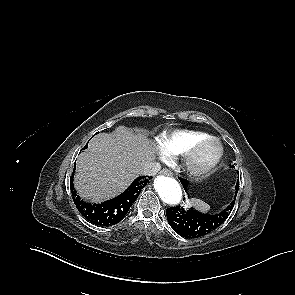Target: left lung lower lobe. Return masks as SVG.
<instances>
[{"instance_id":"left-lung-lower-lobe-1","label":"left lung lower lobe","mask_w":295,"mask_h":295,"mask_svg":"<svg viewBox=\"0 0 295 295\" xmlns=\"http://www.w3.org/2000/svg\"><path fill=\"white\" fill-rule=\"evenodd\" d=\"M185 190L188 189V181L179 178ZM236 193L239 189V179L236 183ZM236 200H234L222 212L209 215L200 213L191 208L185 210L181 206L170 207L166 210L167 220L170 226L181 236L185 238H197L209 234L217 229L228 218Z\"/></svg>"}]
</instances>
